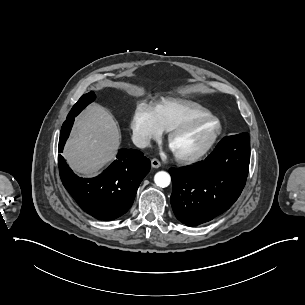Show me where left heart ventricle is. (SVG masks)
Here are the masks:
<instances>
[{
    "instance_id": "obj_1",
    "label": "left heart ventricle",
    "mask_w": 305,
    "mask_h": 305,
    "mask_svg": "<svg viewBox=\"0 0 305 305\" xmlns=\"http://www.w3.org/2000/svg\"><path fill=\"white\" fill-rule=\"evenodd\" d=\"M218 130V123L213 120H206L188 128L186 132L175 143V150L189 152L206 146Z\"/></svg>"
}]
</instances>
